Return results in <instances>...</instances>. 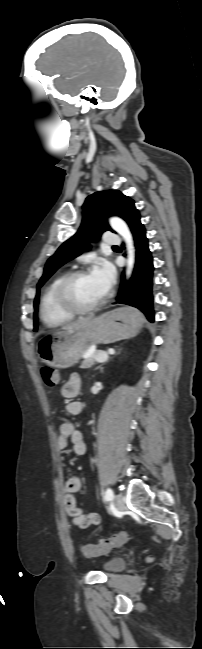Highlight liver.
I'll use <instances>...</instances> for the list:
<instances>
[{
  "label": "liver",
  "mask_w": 202,
  "mask_h": 649,
  "mask_svg": "<svg viewBox=\"0 0 202 649\" xmlns=\"http://www.w3.org/2000/svg\"><path fill=\"white\" fill-rule=\"evenodd\" d=\"M92 318L91 317H85V318H79L78 320L68 323L62 327V330H69L73 328H79L86 323H88Z\"/></svg>",
  "instance_id": "liver-1"
}]
</instances>
